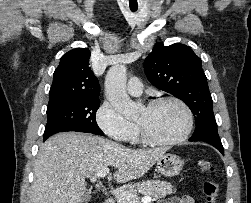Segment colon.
Segmentation results:
<instances>
[{"mask_svg": "<svg viewBox=\"0 0 251 203\" xmlns=\"http://www.w3.org/2000/svg\"><path fill=\"white\" fill-rule=\"evenodd\" d=\"M200 172L206 175L202 183V192L205 197V203H219V188L218 184L213 178L214 166L205 159H200L197 163Z\"/></svg>", "mask_w": 251, "mask_h": 203, "instance_id": "colon-1", "label": "colon"}]
</instances>
